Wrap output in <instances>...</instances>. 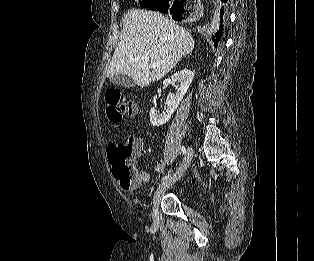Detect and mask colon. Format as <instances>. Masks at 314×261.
I'll return each mask as SVG.
<instances>
[{"label":"colon","mask_w":314,"mask_h":261,"mask_svg":"<svg viewBox=\"0 0 314 261\" xmlns=\"http://www.w3.org/2000/svg\"><path fill=\"white\" fill-rule=\"evenodd\" d=\"M107 116L112 122H121L135 113L136 106L120 88H111L105 94ZM138 147L134 138L110 144L107 148L112 172L123 189L136 188L142 182V176L133 165V157Z\"/></svg>","instance_id":"obj_1"}]
</instances>
